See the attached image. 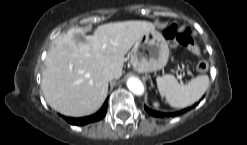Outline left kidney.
Listing matches in <instances>:
<instances>
[{
	"label": "left kidney",
	"mask_w": 247,
	"mask_h": 145,
	"mask_svg": "<svg viewBox=\"0 0 247 145\" xmlns=\"http://www.w3.org/2000/svg\"><path fill=\"white\" fill-rule=\"evenodd\" d=\"M153 105H154L155 107H158V106H159V103H158V102H154Z\"/></svg>",
	"instance_id": "left-kidney-1"
}]
</instances>
